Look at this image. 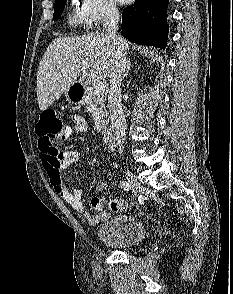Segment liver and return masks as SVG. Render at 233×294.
<instances>
[{
    "label": "liver",
    "instance_id": "obj_1",
    "mask_svg": "<svg viewBox=\"0 0 233 294\" xmlns=\"http://www.w3.org/2000/svg\"><path fill=\"white\" fill-rule=\"evenodd\" d=\"M123 48L129 42L122 38ZM116 48L101 32L80 37L56 38L46 49L37 73V98L41 111L46 110L77 82L82 72L90 69L92 79L110 76Z\"/></svg>",
    "mask_w": 233,
    "mask_h": 294
}]
</instances>
